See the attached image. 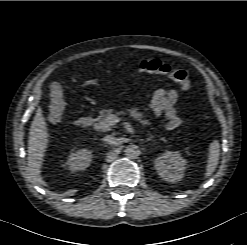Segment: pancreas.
<instances>
[{
    "label": "pancreas",
    "mask_w": 247,
    "mask_h": 245,
    "mask_svg": "<svg viewBox=\"0 0 247 245\" xmlns=\"http://www.w3.org/2000/svg\"><path fill=\"white\" fill-rule=\"evenodd\" d=\"M114 110L112 109H105L100 111L99 116L94 120V128L97 130H101L103 132H108L111 130L110 121L109 118L113 115ZM125 112H117V114H122ZM128 113L130 116L135 118L137 121H139L143 126L151 125V122L147 119H145V115L140 112L137 108H130L128 109Z\"/></svg>",
    "instance_id": "cf45deb5"
}]
</instances>
